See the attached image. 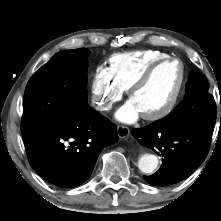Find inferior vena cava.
<instances>
[{
	"instance_id": "inferior-vena-cava-1",
	"label": "inferior vena cava",
	"mask_w": 221,
	"mask_h": 221,
	"mask_svg": "<svg viewBox=\"0 0 221 221\" xmlns=\"http://www.w3.org/2000/svg\"><path fill=\"white\" fill-rule=\"evenodd\" d=\"M98 109L101 110V111H103V110H109V109H110V105H107V106H99Z\"/></svg>"
}]
</instances>
